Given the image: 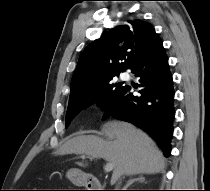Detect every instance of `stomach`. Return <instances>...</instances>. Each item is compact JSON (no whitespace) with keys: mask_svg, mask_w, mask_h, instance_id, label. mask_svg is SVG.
I'll return each instance as SVG.
<instances>
[{"mask_svg":"<svg viewBox=\"0 0 210 191\" xmlns=\"http://www.w3.org/2000/svg\"><path fill=\"white\" fill-rule=\"evenodd\" d=\"M66 177L77 186H85L88 181L87 174L77 169L69 170L66 174Z\"/></svg>","mask_w":210,"mask_h":191,"instance_id":"obj_1","label":"stomach"}]
</instances>
